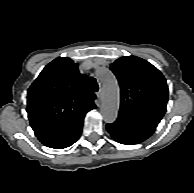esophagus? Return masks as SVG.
Instances as JSON below:
<instances>
[{
    "label": "esophagus",
    "mask_w": 194,
    "mask_h": 193,
    "mask_svg": "<svg viewBox=\"0 0 194 193\" xmlns=\"http://www.w3.org/2000/svg\"><path fill=\"white\" fill-rule=\"evenodd\" d=\"M97 96H98V99L101 100L102 99V96H103V92L102 90L100 89L99 92L97 93Z\"/></svg>",
    "instance_id": "1"
}]
</instances>
